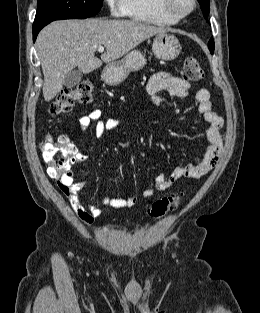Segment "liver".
I'll return each mask as SVG.
<instances>
[{
	"label": "liver",
	"mask_w": 260,
	"mask_h": 313,
	"mask_svg": "<svg viewBox=\"0 0 260 313\" xmlns=\"http://www.w3.org/2000/svg\"><path fill=\"white\" fill-rule=\"evenodd\" d=\"M169 29L129 20H59L41 30L36 50L44 75L43 96L49 102L61 91L67 73L78 67L88 74L111 63L158 33ZM99 46L106 48L100 59Z\"/></svg>",
	"instance_id": "1"
}]
</instances>
